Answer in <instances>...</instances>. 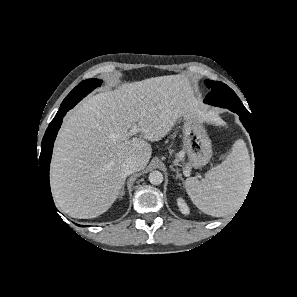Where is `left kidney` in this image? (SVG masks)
I'll return each mask as SVG.
<instances>
[{
	"instance_id": "1",
	"label": "left kidney",
	"mask_w": 297,
	"mask_h": 297,
	"mask_svg": "<svg viewBox=\"0 0 297 297\" xmlns=\"http://www.w3.org/2000/svg\"><path fill=\"white\" fill-rule=\"evenodd\" d=\"M177 204L178 207L180 209V211L184 214V215H188L190 213L189 207L186 204L185 200L182 197H179L177 199Z\"/></svg>"
}]
</instances>
